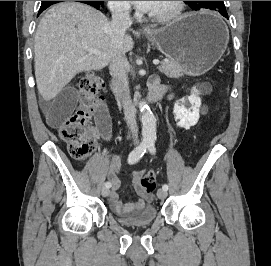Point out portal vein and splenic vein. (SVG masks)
<instances>
[{"label":"portal vein and splenic vein","mask_w":271,"mask_h":266,"mask_svg":"<svg viewBox=\"0 0 271 266\" xmlns=\"http://www.w3.org/2000/svg\"><path fill=\"white\" fill-rule=\"evenodd\" d=\"M85 49H86L87 51H89L90 53H94V54L101 55V53H100L97 49H95V48L85 47ZM159 63H160L159 60H153V64H154L155 66H158Z\"/></svg>","instance_id":"1"}]
</instances>
